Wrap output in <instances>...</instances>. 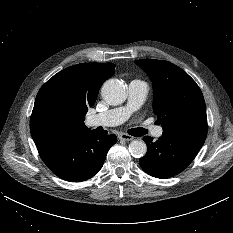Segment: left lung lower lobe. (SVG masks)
I'll list each match as a JSON object with an SVG mask.
<instances>
[{
  "instance_id": "obj_1",
  "label": "left lung lower lobe",
  "mask_w": 233,
  "mask_h": 233,
  "mask_svg": "<svg viewBox=\"0 0 233 233\" xmlns=\"http://www.w3.org/2000/svg\"><path fill=\"white\" fill-rule=\"evenodd\" d=\"M147 153L140 166L149 175L166 179L182 172L195 158L204 141L189 136L162 135L157 141L145 136Z\"/></svg>"
}]
</instances>
